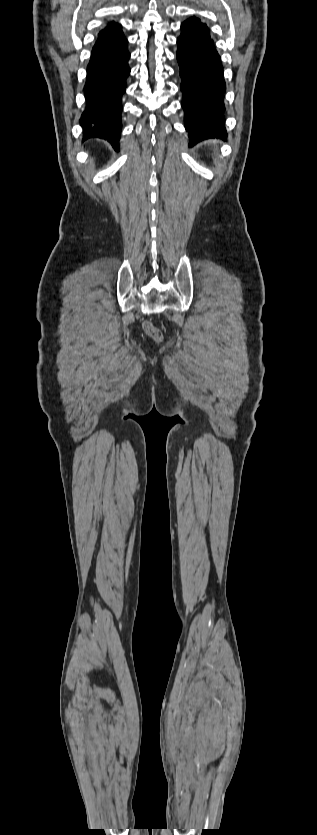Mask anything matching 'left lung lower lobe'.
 I'll return each instance as SVG.
<instances>
[{
    "mask_svg": "<svg viewBox=\"0 0 317 835\" xmlns=\"http://www.w3.org/2000/svg\"><path fill=\"white\" fill-rule=\"evenodd\" d=\"M177 60L183 83L182 107L190 146L209 138H227L223 114L226 84L223 66L206 24L196 17L181 25Z\"/></svg>",
    "mask_w": 317,
    "mask_h": 835,
    "instance_id": "obj_1",
    "label": "left lung lower lobe"
}]
</instances>
